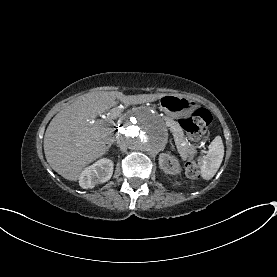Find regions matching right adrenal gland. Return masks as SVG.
<instances>
[{"mask_svg":"<svg viewBox=\"0 0 277 277\" xmlns=\"http://www.w3.org/2000/svg\"><path fill=\"white\" fill-rule=\"evenodd\" d=\"M112 145H114V142H112V143L109 145V147H111Z\"/></svg>","mask_w":277,"mask_h":277,"instance_id":"2a0ac1e0","label":"right adrenal gland"}]
</instances>
